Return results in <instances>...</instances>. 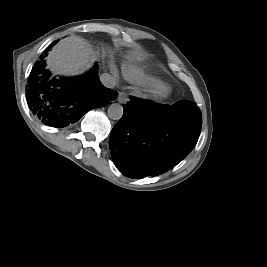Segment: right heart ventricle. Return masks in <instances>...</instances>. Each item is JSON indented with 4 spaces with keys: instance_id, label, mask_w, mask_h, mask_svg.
Returning <instances> with one entry per match:
<instances>
[{
    "instance_id": "1",
    "label": "right heart ventricle",
    "mask_w": 267,
    "mask_h": 267,
    "mask_svg": "<svg viewBox=\"0 0 267 267\" xmlns=\"http://www.w3.org/2000/svg\"><path fill=\"white\" fill-rule=\"evenodd\" d=\"M126 76L128 77L129 80L134 81V82L142 81L153 86H163L162 82L158 79H155L152 77L141 76L130 71H126Z\"/></svg>"
}]
</instances>
